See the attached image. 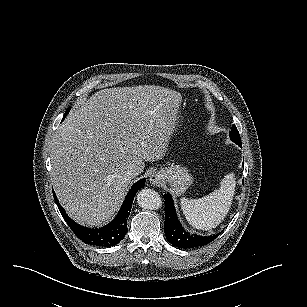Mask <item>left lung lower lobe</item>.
Segmentation results:
<instances>
[{"instance_id":"1","label":"left lung lower lobe","mask_w":307,"mask_h":307,"mask_svg":"<svg viewBox=\"0 0 307 307\" xmlns=\"http://www.w3.org/2000/svg\"><path fill=\"white\" fill-rule=\"evenodd\" d=\"M165 199V222L164 232L167 240L178 248H194L207 245L216 239L219 234L212 236H198L188 234L177 219L172 197L169 194L164 195Z\"/></svg>"}]
</instances>
